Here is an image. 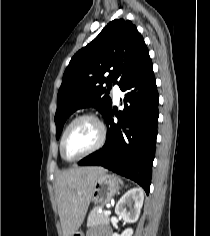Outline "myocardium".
Returning <instances> with one entry per match:
<instances>
[{"label":"myocardium","instance_id":"myocardium-1","mask_svg":"<svg viewBox=\"0 0 210 236\" xmlns=\"http://www.w3.org/2000/svg\"><path fill=\"white\" fill-rule=\"evenodd\" d=\"M84 119H89V120H92L93 122L96 123L98 129H99V137H98V140L97 142L90 148L88 149L87 151H85L84 153L80 154L79 156L75 157V158H72V159H68L65 157L64 155V152H63V146H64V141H65V138H66V135L68 133V131L70 130V128L78 121L80 120H84ZM106 138H107V129L104 125V123L102 122V120L95 114H92V113H85V114H81L77 117H75L68 125L67 127L65 128L62 136H61V139H60V154H61V157L67 161V162H75V161H78L90 154H92L93 152L97 151L98 149H100L105 141H106Z\"/></svg>","mask_w":210,"mask_h":236}]
</instances>
